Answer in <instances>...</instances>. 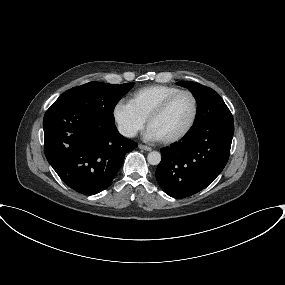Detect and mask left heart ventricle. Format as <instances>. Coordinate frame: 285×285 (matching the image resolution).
I'll return each instance as SVG.
<instances>
[{
    "instance_id": "obj_1",
    "label": "left heart ventricle",
    "mask_w": 285,
    "mask_h": 285,
    "mask_svg": "<svg viewBox=\"0 0 285 285\" xmlns=\"http://www.w3.org/2000/svg\"><path fill=\"white\" fill-rule=\"evenodd\" d=\"M193 109L192 98L187 94L180 95L160 117L150 124L149 129L159 140L173 137L189 124Z\"/></svg>"
}]
</instances>
